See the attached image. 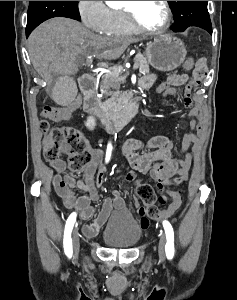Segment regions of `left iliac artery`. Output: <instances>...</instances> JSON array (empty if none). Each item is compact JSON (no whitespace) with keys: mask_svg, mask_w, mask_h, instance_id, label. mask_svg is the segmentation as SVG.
<instances>
[{"mask_svg":"<svg viewBox=\"0 0 237 300\" xmlns=\"http://www.w3.org/2000/svg\"><path fill=\"white\" fill-rule=\"evenodd\" d=\"M163 227L166 234L167 243L165 245V252L168 259L174 256V232L171 224L168 221H163Z\"/></svg>","mask_w":237,"mask_h":300,"instance_id":"44dca946","label":"left iliac artery"}]
</instances>
